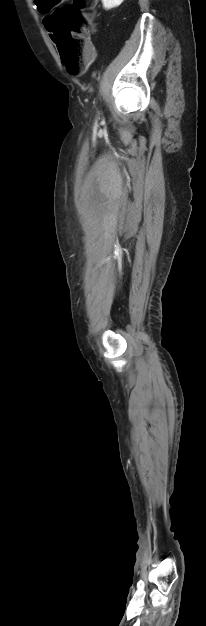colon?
Segmentation results:
<instances>
[{
	"label": "colon",
	"mask_w": 206,
	"mask_h": 626,
	"mask_svg": "<svg viewBox=\"0 0 206 626\" xmlns=\"http://www.w3.org/2000/svg\"><path fill=\"white\" fill-rule=\"evenodd\" d=\"M42 0L41 9H54L47 18L51 37L56 44L61 60L71 74H79L88 58L90 49L86 35L92 28V10L96 0Z\"/></svg>",
	"instance_id": "obj_1"
}]
</instances>
